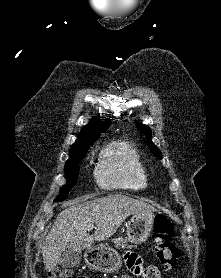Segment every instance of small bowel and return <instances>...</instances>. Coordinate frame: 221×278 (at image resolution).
Instances as JSON below:
<instances>
[{
	"label": "small bowel",
	"instance_id": "c3829d8e",
	"mask_svg": "<svg viewBox=\"0 0 221 278\" xmlns=\"http://www.w3.org/2000/svg\"><path fill=\"white\" fill-rule=\"evenodd\" d=\"M125 263L128 270L141 278H150L148 276V267L143 265L141 258L135 253L125 254ZM120 278H131L130 276L123 274Z\"/></svg>",
	"mask_w": 221,
	"mask_h": 278
}]
</instances>
